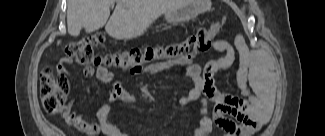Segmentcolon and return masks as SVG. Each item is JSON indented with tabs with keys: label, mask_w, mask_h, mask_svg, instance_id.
Segmentation results:
<instances>
[{
	"label": "colon",
	"mask_w": 325,
	"mask_h": 136,
	"mask_svg": "<svg viewBox=\"0 0 325 136\" xmlns=\"http://www.w3.org/2000/svg\"><path fill=\"white\" fill-rule=\"evenodd\" d=\"M220 30L217 22L209 28L200 29L195 35L180 43H173L153 49H131L127 51L108 52L100 55L95 47L102 44L105 37L96 33L88 37L73 41L66 46V58L80 65L101 66L107 69H121L139 72L144 67L158 60L188 61L198 52L208 48ZM40 96L46 112L58 114L64 110L66 95L60 88L59 81L49 68L43 69L40 75Z\"/></svg>",
	"instance_id": "1"
}]
</instances>
